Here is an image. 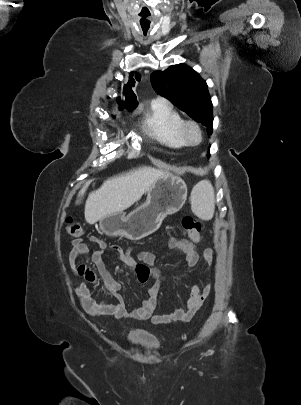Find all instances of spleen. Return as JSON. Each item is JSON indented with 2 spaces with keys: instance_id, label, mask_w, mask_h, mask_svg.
<instances>
[{
  "instance_id": "3e777b00",
  "label": "spleen",
  "mask_w": 301,
  "mask_h": 405,
  "mask_svg": "<svg viewBox=\"0 0 301 405\" xmlns=\"http://www.w3.org/2000/svg\"><path fill=\"white\" fill-rule=\"evenodd\" d=\"M191 208L202 220H210L214 214V190L209 181L196 184L191 192Z\"/></svg>"
}]
</instances>
